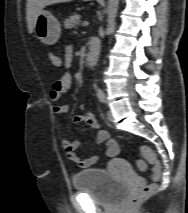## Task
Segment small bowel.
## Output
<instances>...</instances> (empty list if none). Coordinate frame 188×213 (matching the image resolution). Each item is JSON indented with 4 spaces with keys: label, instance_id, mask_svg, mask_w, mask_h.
<instances>
[{
    "label": "small bowel",
    "instance_id": "c3829d8e",
    "mask_svg": "<svg viewBox=\"0 0 188 213\" xmlns=\"http://www.w3.org/2000/svg\"><path fill=\"white\" fill-rule=\"evenodd\" d=\"M74 56V49L72 46H67L64 50V60H62L59 56L55 55L57 58L59 65L56 66L52 60L50 59L52 65L54 67H61L63 63L65 65H69ZM72 87V78L69 74L63 75L59 80L54 82L52 85V89L50 91V99L53 102H58L61 100L62 96L68 93ZM69 109V106L66 104H56L53 106V113L56 116L64 115ZM73 123H86L93 127L96 132L93 134V137L98 144H105V155L109 158H114L119 153V145L117 141L110 138L109 133L101 127V123L99 120L89 114H77L74 115L71 119ZM62 146L66 152L68 159L74 163H76L81 168H89L97 163L99 157L97 155H93L87 158H82L78 153L77 149L80 146L79 140H69L63 139Z\"/></svg>",
    "mask_w": 188,
    "mask_h": 213
}]
</instances>
